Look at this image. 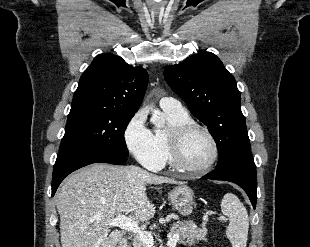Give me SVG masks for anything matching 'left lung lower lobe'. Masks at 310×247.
Listing matches in <instances>:
<instances>
[{
	"mask_svg": "<svg viewBox=\"0 0 310 247\" xmlns=\"http://www.w3.org/2000/svg\"><path fill=\"white\" fill-rule=\"evenodd\" d=\"M202 178L212 180H225L238 184L247 193L253 208L257 201V176L251 152L223 165H217L216 169Z\"/></svg>",
	"mask_w": 310,
	"mask_h": 247,
	"instance_id": "left-lung-lower-lobe-1",
	"label": "left lung lower lobe"
}]
</instances>
